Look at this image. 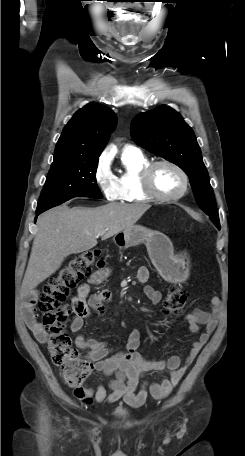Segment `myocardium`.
Listing matches in <instances>:
<instances>
[{
    "mask_svg": "<svg viewBox=\"0 0 245 456\" xmlns=\"http://www.w3.org/2000/svg\"><path fill=\"white\" fill-rule=\"evenodd\" d=\"M160 165H167L175 169L181 176L183 180V187L182 190L175 194V195H162L160 194L154 186L153 183V174L156 168ZM140 182H141V187L143 192L150 198L156 201H161V202H172V201H177L181 199L182 197L185 196V194L188 191L189 188V178L186 172L183 170L182 167H180L178 164H176L173 161L162 159V160H157V161H152L149 162L146 166L143 167L140 173Z\"/></svg>",
    "mask_w": 245,
    "mask_h": 456,
    "instance_id": "obj_1",
    "label": "myocardium"
}]
</instances>
